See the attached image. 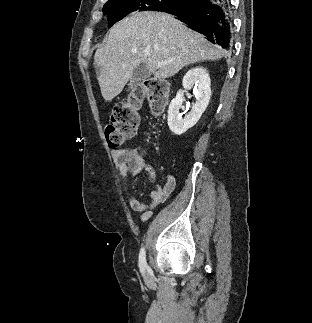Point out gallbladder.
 I'll list each match as a JSON object with an SVG mask.
<instances>
[{
	"label": "gallbladder",
	"mask_w": 312,
	"mask_h": 323,
	"mask_svg": "<svg viewBox=\"0 0 312 323\" xmlns=\"http://www.w3.org/2000/svg\"><path fill=\"white\" fill-rule=\"evenodd\" d=\"M150 76L151 72L147 66H138V68H134L128 86H130V88L131 86H137L138 82H142V80H146V78H150Z\"/></svg>",
	"instance_id": "obj_1"
}]
</instances>
